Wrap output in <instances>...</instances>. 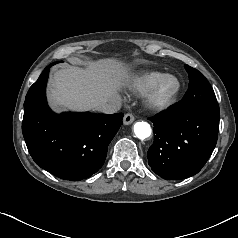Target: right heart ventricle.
I'll return each instance as SVG.
<instances>
[{"label": "right heart ventricle", "instance_id": "right-heart-ventricle-1", "mask_svg": "<svg viewBox=\"0 0 238 238\" xmlns=\"http://www.w3.org/2000/svg\"><path fill=\"white\" fill-rule=\"evenodd\" d=\"M163 74L165 73L151 70L134 75L130 81V91L136 95L145 93L151 84Z\"/></svg>", "mask_w": 238, "mask_h": 238}]
</instances>
